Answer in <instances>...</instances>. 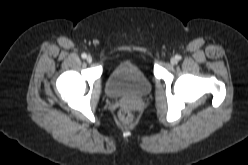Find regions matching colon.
I'll use <instances>...</instances> for the list:
<instances>
[{
  "label": "colon",
  "instance_id": "5ec220e1",
  "mask_svg": "<svg viewBox=\"0 0 248 165\" xmlns=\"http://www.w3.org/2000/svg\"><path fill=\"white\" fill-rule=\"evenodd\" d=\"M133 115L129 110L123 109L119 113V119L124 123H129L132 121Z\"/></svg>",
  "mask_w": 248,
  "mask_h": 165
}]
</instances>
